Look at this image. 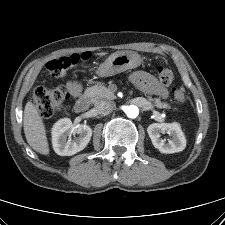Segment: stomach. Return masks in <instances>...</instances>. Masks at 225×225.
<instances>
[{
    "label": "stomach",
    "mask_w": 225,
    "mask_h": 225,
    "mask_svg": "<svg viewBox=\"0 0 225 225\" xmlns=\"http://www.w3.org/2000/svg\"><path fill=\"white\" fill-rule=\"evenodd\" d=\"M141 56L133 51H117L111 54L97 69L100 77L113 76L140 66Z\"/></svg>",
    "instance_id": "stomach-1"
}]
</instances>
